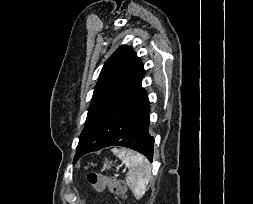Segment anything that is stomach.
<instances>
[{
    "instance_id": "obj_1",
    "label": "stomach",
    "mask_w": 253,
    "mask_h": 204,
    "mask_svg": "<svg viewBox=\"0 0 253 204\" xmlns=\"http://www.w3.org/2000/svg\"><path fill=\"white\" fill-rule=\"evenodd\" d=\"M110 168H111V163L106 162V163H104L102 171H104L106 169H110Z\"/></svg>"
}]
</instances>
